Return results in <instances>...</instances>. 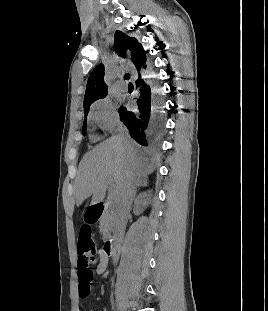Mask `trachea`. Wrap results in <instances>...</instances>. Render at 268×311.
I'll list each match as a JSON object with an SVG mask.
<instances>
[{
    "mask_svg": "<svg viewBox=\"0 0 268 311\" xmlns=\"http://www.w3.org/2000/svg\"><path fill=\"white\" fill-rule=\"evenodd\" d=\"M124 79H125V80H129V79H130V74H129V73H126V74L124 75Z\"/></svg>",
    "mask_w": 268,
    "mask_h": 311,
    "instance_id": "trachea-1",
    "label": "trachea"
}]
</instances>
